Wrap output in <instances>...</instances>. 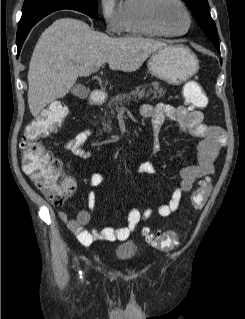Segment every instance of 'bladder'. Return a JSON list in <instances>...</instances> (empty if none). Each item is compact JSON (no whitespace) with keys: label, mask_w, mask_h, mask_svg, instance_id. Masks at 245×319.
I'll use <instances>...</instances> for the list:
<instances>
[{"label":"bladder","mask_w":245,"mask_h":319,"mask_svg":"<svg viewBox=\"0 0 245 319\" xmlns=\"http://www.w3.org/2000/svg\"><path fill=\"white\" fill-rule=\"evenodd\" d=\"M138 247L132 240H124L114 250L115 256L123 261H129L137 256Z\"/></svg>","instance_id":"bladder-1"}]
</instances>
